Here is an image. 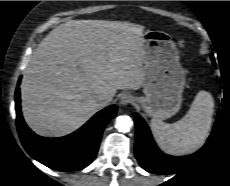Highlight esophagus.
<instances>
[{
	"instance_id": "1",
	"label": "esophagus",
	"mask_w": 230,
	"mask_h": 186,
	"mask_svg": "<svg viewBox=\"0 0 230 186\" xmlns=\"http://www.w3.org/2000/svg\"><path fill=\"white\" fill-rule=\"evenodd\" d=\"M133 102V96L130 94H123L120 98V104L125 106Z\"/></svg>"
}]
</instances>
